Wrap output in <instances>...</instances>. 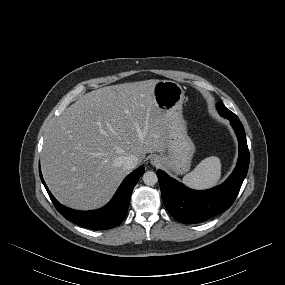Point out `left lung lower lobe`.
<instances>
[{
  "label": "left lung lower lobe",
  "instance_id": "left-lung-lower-lobe-1",
  "mask_svg": "<svg viewBox=\"0 0 285 285\" xmlns=\"http://www.w3.org/2000/svg\"><path fill=\"white\" fill-rule=\"evenodd\" d=\"M238 137L239 157L230 177L221 185L209 190L195 191L157 171L163 202L169 213L182 223H200L227 210L235 201L249 166V150L245 130L238 117L223 116Z\"/></svg>",
  "mask_w": 285,
  "mask_h": 285
}]
</instances>
